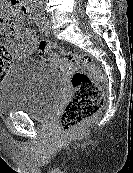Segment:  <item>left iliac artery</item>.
I'll list each match as a JSON object with an SVG mask.
<instances>
[{"label": "left iliac artery", "mask_w": 133, "mask_h": 173, "mask_svg": "<svg viewBox=\"0 0 133 173\" xmlns=\"http://www.w3.org/2000/svg\"><path fill=\"white\" fill-rule=\"evenodd\" d=\"M35 19H36V23H37L39 31L43 32L44 24H45V15L42 10L35 11Z\"/></svg>", "instance_id": "left-iliac-artery-1"}]
</instances>
